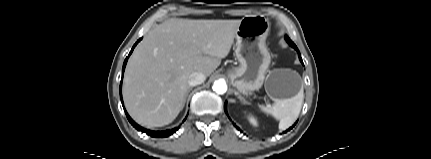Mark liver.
<instances>
[{
    "label": "liver",
    "instance_id": "liver-1",
    "mask_svg": "<svg viewBox=\"0 0 431 159\" xmlns=\"http://www.w3.org/2000/svg\"><path fill=\"white\" fill-rule=\"evenodd\" d=\"M241 20L169 19L135 48L124 75L123 99L140 125L170 124L184 106L189 76H210L234 42Z\"/></svg>",
    "mask_w": 431,
    "mask_h": 159
}]
</instances>
